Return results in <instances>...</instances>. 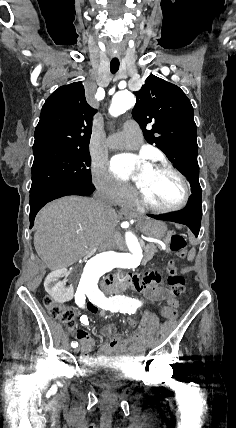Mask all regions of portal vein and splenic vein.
Masks as SVG:
<instances>
[{
	"label": "portal vein and splenic vein",
	"mask_w": 236,
	"mask_h": 428,
	"mask_svg": "<svg viewBox=\"0 0 236 428\" xmlns=\"http://www.w3.org/2000/svg\"><path fill=\"white\" fill-rule=\"evenodd\" d=\"M151 242H156V240H151Z\"/></svg>",
	"instance_id": "portal-vein-and-splenic-vein-1"
}]
</instances>
